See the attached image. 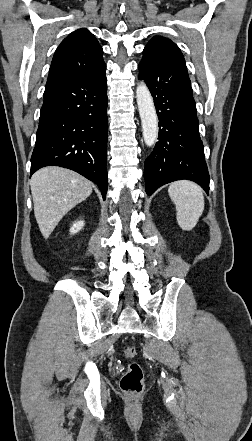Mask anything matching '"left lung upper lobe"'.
Listing matches in <instances>:
<instances>
[{"instance_id": "obj_1", "label": "left lung upper lobe", "mask_w": 252, "mask_h": 441, "mask_svg": "<svg viewBox=\"0 0 252 441\" xmlns=\"http://www.w3.org/2000/svg\"><path fill=\"white\" fill-rule=\"evenodd\" d=\"M163 42H172L171 40L161 37V36H155L153 38H151V40L148 42V44L146 45L145 49L151 48L153 46H155L156 44H160Z\"/></svg>"}]
</instances>
